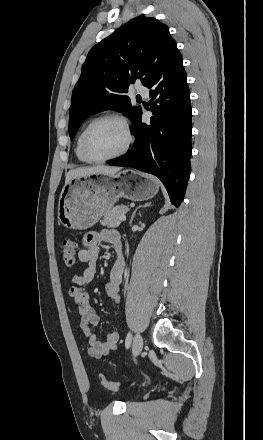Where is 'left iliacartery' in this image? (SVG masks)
Segmentation results:
<instances>
[{"instance_id": "left-iliac-artery-1", "label": "left iliac artery", "mask_w": 263, "mask_h": 440, "mask_svg": "<svg viewBox=\"0 0 263 440\" xmlns=\"http://www.w3.org/2000/svg\"><path fill=\"white\" fill-rule=\"evenodd\" d=\"M131 341H132V335L129 332L126 336V339H125V346L127 349L130 347Z\"/></svg>"}]
</instances>
